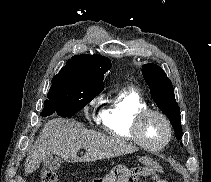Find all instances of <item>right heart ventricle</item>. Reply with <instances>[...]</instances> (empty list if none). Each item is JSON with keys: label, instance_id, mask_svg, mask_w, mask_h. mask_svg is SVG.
<instances>
[{"label": "right heart ventricle", "instance_id": "e07e8e85", "mask_svg": "<svg viewBox=\"0 0 211 182\" xmlns=\"http://www.w3.org/2000/svg\"><path fill=\"white\" fill-rule=\"evenodd\" d=\"M148 108L145 99L135 89L120 91L101 115L103 129L115 138L134 142L132 125L135 115Z\"/></svg>", "mask_w": 211, "mask_h": 182}]
</instances>
